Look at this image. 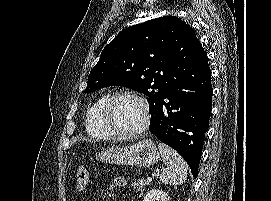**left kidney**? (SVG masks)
<instances>
[{"label":"left kidney","instance_id":"5707ae66","mask_svg":"<svg viewBox=\"0 0 271 201\" xmlns=\"http://www.w3.org/2000/svg\"><path fill=\"white\" fill-rule=\"evenodd\" d=\"M143 201H168L166 192L158 189H152L144 196Z\"/></svg>","mask_w":271,"mask_h":201}]
</instances>
